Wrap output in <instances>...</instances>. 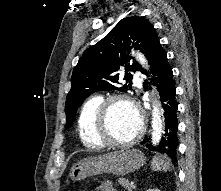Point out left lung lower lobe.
I'll return each mask as SVG.
<instances>
[{"label":"left lung lower lobe","instance_id":"0a47b994","mask_svg":"<svg viewBox=\"0 0 221 191\" xmlns=\"http://www.w3.org/2000/svg\"><path fill=\"white\" fill-rule=\"evenodd\" d=\"M147 58L151 64L152 74L156 77L152 79V81L153 85H156L158 88L165 117V130L160 142L155 146L148 147L165 155L175 163L179 144L177 137L178 103L175 99L176 87L174 86L173 72L167 61V55L161 47L158 37L153 40ZM140 71L146 74L145 70L141 69ZM146 83H148V81H146ZM144 87H146L145 83Z\"/></svg>","mask_w":221,"mask_h":191}]
</instances>
